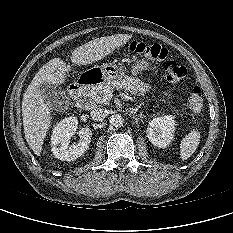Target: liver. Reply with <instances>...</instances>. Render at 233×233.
<instances>
[{
  "label": "liver",
  "instance_id": "1",
  "mask_svg": "<svg viewBox=\"0 0 233 233\" xmlns=\"http://www.w3.org/2000/svg\"><path fill=\"white\" fill-rule=\"evenodd\" d=\"M132 38L129 34H115L96 38L77 47L71 55V61L76 65L92 64L109 55L115 49ZM70 66L60 58H54L47 62L33 77L27 87L22 100V117L26 141L34 154L39 156L42 151L46 132L51 124V113L48 103L45 101L38 87L44 83L59 86L64 83Z\"/></svg>",
  "mask_w": 233,
  "mask_h": 233
}]
</instances>
